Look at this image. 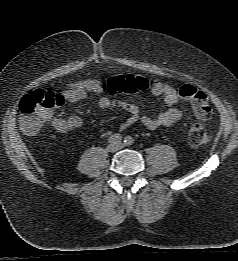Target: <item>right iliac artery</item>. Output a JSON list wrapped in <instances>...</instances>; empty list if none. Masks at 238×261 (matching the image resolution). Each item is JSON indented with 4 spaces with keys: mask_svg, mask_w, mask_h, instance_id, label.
<instances>
[{
    "mask_svg": "<svg viewBox=\"0 0 238 261\" xmlns=\"http://www.w3.org/2000/svg\"><path fill=\"white\" fill-rule=\"evenodd\" d=\"M122 140V136L120 134H113L109 137L108 142L110 144H117Z\"/></svg>",
    "mask_w": 238,
    "mask_h": 261,
    "instance_id": "obj_1",
    "label": "right iliac artery"
}]
</instances>
